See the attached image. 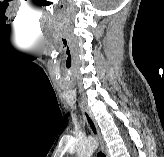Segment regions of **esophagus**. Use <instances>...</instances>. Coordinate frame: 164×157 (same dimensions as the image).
Returning a JSON list of instances; mask_svg holds the SVG:
<instances>
[{
  "mask_svg": "<svg viewBox=\"0 0 164 157\" xmlns=\"http://www.w3.org/2000/svg\"><path fill=\"white\" fill-rule=\"evenodd\" d=\"M79 106H80V109L82 111L84 119H85L91 133L99 141L100 149L104 153L105 157H108L109 156L108 149L105 145L102 134L100 133V131L96 125V122L94 121L93 116L91 115L88 108L86 107V105L83 102H80Z\"/></svg>",
  "mask_w": 164,
  "mask_h": 157,
  "instance_id": "1",
  "label": "esophagus"
}]
</instances>
